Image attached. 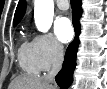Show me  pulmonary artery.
Here are the masks:
<instances>
[{"label": "pulmonary artery", "mask_w": 107, "mask_h": 89, "mask_svg": "<svg viewBox=\"0 0 107 89\" xmlns=\"http://www.w3.org/2000/svg\"><path fill=\"white\" fill-rule=\"evenodd\" d=\"M56 5L61 10H67L68 7H69V4H68L67 0H57Z\"/></svg>", "instance_id": "1"}]
</instances>
